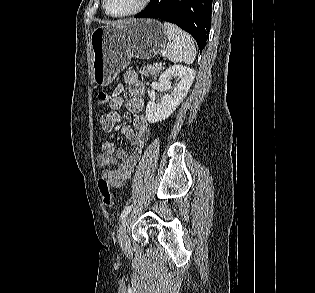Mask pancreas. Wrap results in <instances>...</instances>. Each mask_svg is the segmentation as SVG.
Wrapping results in <instances>:
<instances>
[{
    "label": "pancreas",
    "instance_id": "cf45deb5",
    "mask_svg": "<svg viewBox=\"0 0 315 293\" xmlns=\"http://www.w3.org/2000/svg\"><path fill=\"white\" fill-rule=\"evenodd\" d=\"M163 70L162 66H152L148 65L146 68H143L139 71V73L143 76H156L157 73Z\"/></svg>",
    "mask_w": 315,
    "mask_h": 293
}]
</instances>
